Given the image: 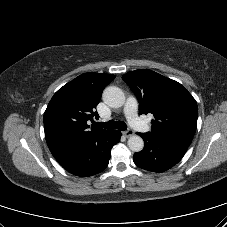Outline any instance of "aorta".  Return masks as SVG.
<instances>
[{
  "instance_id": "aorta-1",
  "label": "aorta",
  "mask_w": 227,
  "mask_h": 227,
  "mask_svg": "<svg viewBox=\"0 0 227 227\" xmlns=\"http://www.w3.org/2000/svg\"><path fill=\"white\" fill-rule=\"evenodd\" d=\"M103 101L112 108L122 107L125 103L123 91L115 86L107 87L103 92ZM128 147L133 152H140L144 147L143 139L138 135H133L128 139Z\"/></svg>"
}]
</instances>
